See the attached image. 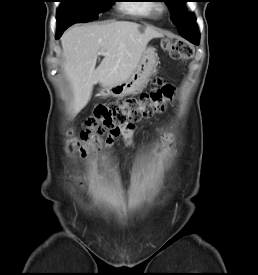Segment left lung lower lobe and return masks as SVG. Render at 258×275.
I'll use <instances>...</instances> for the list:
<instances>
[{"instance_id":"obj_1","label":"left lung lower lobe","mask_w":258,"mask_h":275,"mask_svg":"<svg viewBox=\"0 0 258 275\" xmlns=\"http://www.w3.org/2000/svg\"><path fill=\"white\" fill-rule=\"evenodd\" d=\"M182 37L195 45H199L200 34L197 26L187 29L185 32L180 33Z\"/></svg>"}]
</instances>
